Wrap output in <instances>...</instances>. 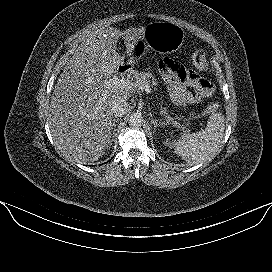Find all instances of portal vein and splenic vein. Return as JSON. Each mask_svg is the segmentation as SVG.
Instances as JSON below:
<instances>
[{
    "label": "portal vein and splenic vein",
    "instance_id": "obj_1",
    "mask_svg": "<svg viewBox=\"0 0 272 272\" xmlns=\"http://www.w3.org/2000/svg\"><path fill=\"white\" fill-rule=\"evenodd\" d=\"M107 87H120L128 90H142L146 93H151V88L148 85L138 86L136 83H132L130 80L127 79H119L118 77L111 78L110 80L105 82ZM105 96V95H104Z\"/></svg>",
    "mask_w": 272,
    "mask_h": 272
}]
</instances>
